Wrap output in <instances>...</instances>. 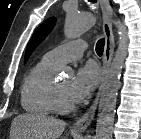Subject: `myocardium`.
<instances>
[{"mask_svg":"<svg viewBox=\"0 0 141 139\" xmlns=\"http://www.w3.org/2000/svg\"><path fill=\"white\" fill-rule=\"evenodd\" d=\"M52 100L56 112L69 113L75 109L74 103L66 102L63 99L61 92L58 86L56 85V83L52 84Z\"/></svg>","mask_w":141,"mask_h":139,"instance_id":"1","label":"myocardium"}]
</instances>
